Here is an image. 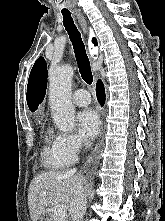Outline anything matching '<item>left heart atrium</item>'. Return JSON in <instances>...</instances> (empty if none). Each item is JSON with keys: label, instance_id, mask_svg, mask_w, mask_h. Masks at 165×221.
I'll return each mask as SVG.
<instances>
[{"label": "left heart atrium", "instance_id": "1", "mask_svg": "<svg viewBox=\"0 0 165 221\" xmlns=\"http://www.w3.org/2000/svg\"><path fill=\"white\" fill-rule=\"evenodd\" d=\"M80 133L88 140L94 139L100 128L97 113L91 109L81 111L77 116Z\"/></svg>", "mask_w": 165, "mask_h": 221}]
</instances>
